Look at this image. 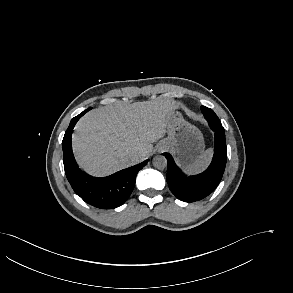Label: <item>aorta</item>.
Here are the masks:
<instances>
[{"mask_svg": "<svg viewBox=\"0 0 293 293\" xmlns=\"http://www.w3.org/2000/svg\"><path fill=\"white\" fill-rule=\"evenodd\" d=\"M152 163L157 169H164L167 166V160L163 155L155 156Z\"/></svg>", "mask_w": 293, "mask_h": 293, "instance_id": "aorta-1", "label": "aorta"}]
</instances>
